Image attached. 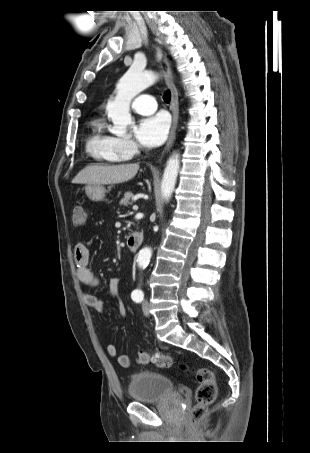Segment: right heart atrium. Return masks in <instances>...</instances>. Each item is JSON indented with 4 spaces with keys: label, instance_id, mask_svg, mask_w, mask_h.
<instances>
[{
    "label": "right heart atrium",
    "instance_id": "d8ad5b80",
    "mask_svg": "<svg viewBox=\"0 0 310 453\" xmlns=\"http://www.w3.org/2000/svg\"><path fill=\"white\" fill-rule=\"evenodd\" d=\"M116 141L120 151L127 157L134 156L139 150L138 145L132 139L116 138Z\"/></svg>",
    "mask_w": 310,
    "mask_h": 453
}]
</instances>
